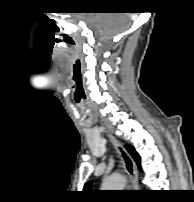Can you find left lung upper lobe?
Segmentation results:
<instances>
[{"instance_id":"left-lung-upper-lobe-1","label":"left lung upper lobe","mask_w":194,"mask_h":202,"mask_svg":"<svg viewBox=\"0 0 194 202\" xmlns=\"http://www.w3.org/2000/svg\"><path fill=\"white\" fill-rule=\"evenodd\" d=\"M126 149L128 150V152L132 155V157L134 158V160L136 161L138 167L141 169L140 166V156L138 155V153L135 151L133 146L130 145H126ZM91 187V183H87L84 187V190H90Z\"/></svg>"}]
</instances>
